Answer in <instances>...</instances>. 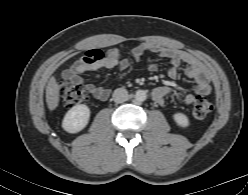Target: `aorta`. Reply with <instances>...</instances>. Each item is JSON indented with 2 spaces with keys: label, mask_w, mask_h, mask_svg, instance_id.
Instances as JSON below:
<instances>
[{
  "label": "aorta",
  "mask_w": 248,
  "mask_h": 195,
  "mask_svg": "<svg viewBox=\"0 0 248 195\" xmlns=\"http://www.w3.org/2000/svg\"><path fill=\"white\" fill-rule=\"evenodd\" d=\"M147 94L144 90H138L135 93V99L139 102H143L146 100Z\"/></svg>",
  "instance_id": "762f6f07"
}]
</instances>
